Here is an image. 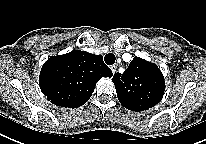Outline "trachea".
Masks as SVG:
<instances>
[{
    "label": "trachea",
    "instance_id": "trachea-1",
    "mask_svg": "<svg viewBox=\"0 0 206 144\" xmlns=\"http://www.w3.org/2000/svg\"><path fill=\"white\" fill-rule=\"evenodd\" d=\"M116 57L114 54L109 53L105 56L104 61L107 65H113L115 63Z\"/></svg>",
    "mask_w": 206,
    "mask_h": 144
}]
</instances>
